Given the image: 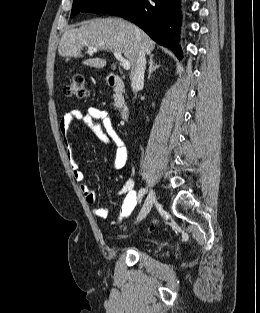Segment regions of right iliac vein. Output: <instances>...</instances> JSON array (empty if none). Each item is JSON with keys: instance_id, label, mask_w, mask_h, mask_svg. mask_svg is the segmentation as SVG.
I'll use <instances>...</instances> for the list:
<instances>
[{"instance_id": "obj_1", "label": "right iliac vein", "mask_w": 260, "mask_h": 313, "mask_svg": "<svg viewBox=\"0 0 260 313\" xmlns=\"http://www.w3.org/2000/svg\"><path fill=\"white\" fill-rule=\"evenodd\" d=\"M156 202V194L154 190H151L140 210V213L137 217V221H141L142 219H144L148 213L150 212L153 204Z\"/></svg>"}]
</instances>
